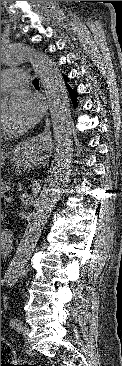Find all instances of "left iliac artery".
I'll use <instances>...</instances> for the list:
<instances>
[{
    "label": "left iliac artery",
    "instance_id": "obj_1",
    "mask_svg": "<svg viewBox=\"0 0 122 366\" xmlns=\"http://www.w3.org/2000/svg\"><path fill=\"white\" fill-rule=\"evenodd\" d=\"M10 325L19 331L22 327V322L19 319L14 318V319H11Z\"/></svg>",
    "mask_w": 122,
    "mask_h": 366
}]
</instances>
